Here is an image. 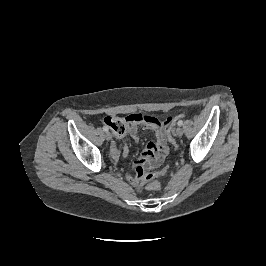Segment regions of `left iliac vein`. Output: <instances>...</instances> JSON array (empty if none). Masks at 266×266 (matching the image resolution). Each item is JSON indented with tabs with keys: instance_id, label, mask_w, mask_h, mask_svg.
Here are the masks:
<instances>
[{
	"instance_id": "left-iliac-vein-1",
	"label": "left iliac vein",
	"mask_w": 266,
	"mask_h": 266,
	"mask_svg": "<svg viewBox=\"0 0 266 266\" xmlns=\"http://www.w3.org/2000/svg\"><path fill=\"white\" fill-rule=\"evenodd\" d=\"M175 133L177 136L181 137L183 135V129L181 127H177Z\"/></svg>"
}]
</instances>
